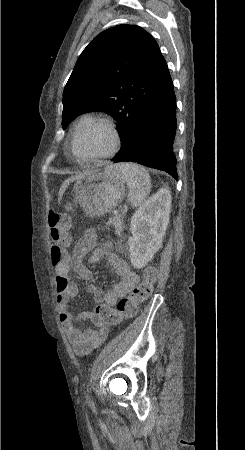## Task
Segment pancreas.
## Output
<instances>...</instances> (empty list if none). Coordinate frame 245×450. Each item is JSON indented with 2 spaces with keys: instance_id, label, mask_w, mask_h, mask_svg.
I'll list each match as a JSON object with an SVG mask.
<instances>
[{
  "instance_id": "obj_1",
  "label": "pancreas",
  "mask_w": 245,
  "mask_h": 450,
  "mask_svg": "<svg viewBox=\"0 0 245 450\" xmlns=\"http://www.w3.org/2000/svg\"><path fill=\"white\" fill-rule=\"evenodd\" d=\"M109 224L114 226L117 235H121L123 231V219L121 215L114 214V216L109 219Z\"/></svg>"
}]
</instances>
